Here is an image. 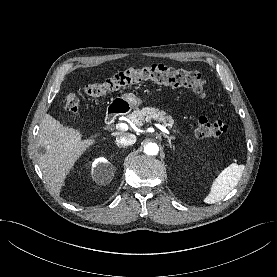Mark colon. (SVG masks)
I'll use <instances>...</instances> for the list:
<instances>
[{"instance_id":"5ec220e1","label":"colon","mask_w":277,"mask_h":277,"mask_svg":"<svg viewBox=\"0 0 277 277\" xmlns=\"http://www.w3.org/2000/svg\"><path fill=\"white\" fill-rule=\"evenodd\" d=\"M145 81L164 86L189 88L201 97L207 95L206 81L198 72L173 69L162 64H152L119 72L101 83L87 85L85 92L90 96L97 97L127 85ZM65 110L72 116L78 113L79 98L74 92H70L66 96ZM193 129L199 137L215 138L225 134L229 130V125L224 119L209 121L206 117L201 116L194 121Z\"/></svg>"}]
</instances>
